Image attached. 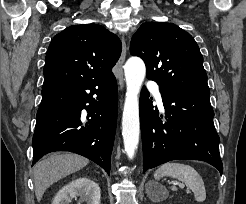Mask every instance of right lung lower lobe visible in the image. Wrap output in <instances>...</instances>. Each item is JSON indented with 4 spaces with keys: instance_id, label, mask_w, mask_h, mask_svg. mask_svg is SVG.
Instances as JSON below:
<instances>
[{
    "instance_id": "obj_1",
    "label": "right lung lower lobe",
    "mask_w": 246,
    "mask_h": 204,
    "mask_svg": "<svg viewBox=\"0 0 246 204\" xmlns=\"http://www.w3.org/2000/svg\"><path fill=\"white\" fill-rule=\"evenodd\" d=\"M117 94L114 75L42 88L32 165L49 152L70 151L89 158L110 174Z\"/></svg>"
}]
</instances>
